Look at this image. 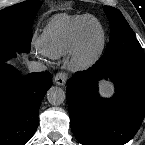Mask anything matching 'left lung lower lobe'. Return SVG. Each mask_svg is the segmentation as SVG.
<instances>
[{"instance_id": "0a47b994", "label": "left lung lower lobe", "mask_w": 145, "mask_h": 145, "mask_svg": "<svg viewBox=\"0 0 145 145\" xmlns=\"http://www.w3.org/2000/svg\"><path fill=\"white\" fill-rule=\"evenodd\" d=\"M115 84L111 99L101 98L98 81ZM71 129L82 145H122L134 137L145 115V63H107L77 72L67 83Z\"/></svg>"}]
</instances>
